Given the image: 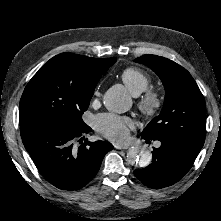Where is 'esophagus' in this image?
<instances>
[{
  "mask_svg": "<svg viewBox=\"0 0 221 221\" xmlns=\"http://www.w3.org/2000/svg\"><path fill=\"white\" fill-rule=\"evenodd\" d=\"M116 149L125 150L129 148V145H115Z\"/></svg>",
  "mask_w": 221,
  "mask_h": 221,
  "instance_id": "obj_1",
  "label": "esophagus"
}]
</instances>
